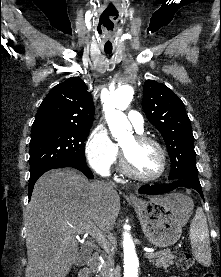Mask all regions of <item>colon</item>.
<instances>
[{
  "instance_id": "obj_1",
  "label": "colon",
  "mask_w": 221,
  "mask_h": 277,
  "mask_svg": "<svg viewBox=\"0 0 221 277\" xmlns=\"http://www.w3.org/2000/svg\"><path fill=\"white\" fill-rule=\"evenodd\" d=\"M176 265L183 270L190 269L194 265V258L189 252L180 251L177 253ZM200 277H216L214 273L210 271L203 272Z\"/></svg>"
}]
</instances>
